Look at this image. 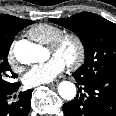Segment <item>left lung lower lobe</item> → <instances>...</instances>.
<instances>
[{"label": "left lung lower lobe", "mask_w": 116, "mask_h": 116, "mask_svg": "<svg viewBox=\"0 0 116 116\" xmlns=\"http://www.w3.org/2000/svg\"><path fill=\"white\" fill-rule=\"evenodd\" d=\"M78 95L63 105L66 116H116V73L85 78L73 73Z\"/></svg>", "instance_id": "left-lung-lower-lobe-1"}]
</instances>
